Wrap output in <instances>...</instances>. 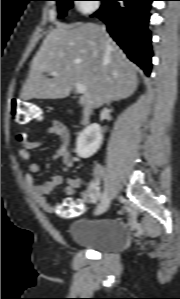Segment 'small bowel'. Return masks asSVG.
<instances>
[{
  "label": "small bowel",
  "instance_id": "obj_1",
  "mask_svg": "<svg viewBox=\"0 0 180 299\" xmlns=\"http://www.w3.org/2000/svg\"><path fill=\"white\" fill-rule=\"evenodd\" d=\"M44 129L47 134L56 135L59 139V148L53 154V159L58 160L62 164L61 171L68 170L73 165V159L70 151V136L67 127L58 120L50 119L42 123L39 127ZM44 145L42 140L28 141L24 143V147L18 151L19 156L24 160L31 158L29 150L38 149ZM39 165L31 162L28 165V172L25 174V183L31 197L36 203L46 212H54L55 207L50 204L46 196L50 194L56 187H58L63 180L61 173L53 174L48 180L42 184H37L34 174L38 173ZM102 167L99 164L94 165L92 169V180L87 189L82 193V198L86 202H92L97 199L99 194V179L102 174ZM81 185V179L77 177H70L67 180V185L63 189V194L67 197L74 195L77 188ZM71 200V199H70Z\"/></svg>",
  "mask_w": 180,
  "mask_h": 299
}]
</instances>
